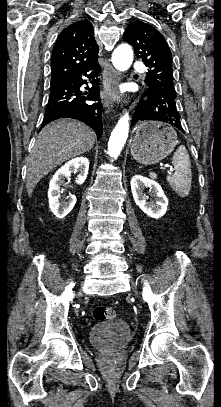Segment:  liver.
<instances>
[{"label": "liver", "mask_w": 221, "mask_h": 407, "mask_svg": "<svg viewBox=\"0 0 221 407\" xmlns=\"http://www.w3.org/2000/svg\"><path fill=\"white\" fill-rule=\"evenodd\" d=\"M95 133L85 124L69 119L54 121L38 134L27 161L26 189L31 197L35 186L52 169L89 151Z\"/></svg>", "instance_id": "1"}]
</instances>
